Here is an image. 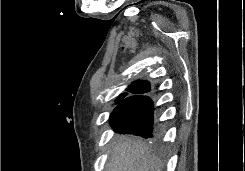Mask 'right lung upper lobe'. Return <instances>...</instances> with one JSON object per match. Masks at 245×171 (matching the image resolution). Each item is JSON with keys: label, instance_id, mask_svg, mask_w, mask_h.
I'll list each match as a JSON object with an SVG mask.
<instances>
[{"label": "right lung upper lobe", "instance_id": "cb5924a9", "mask_svg": "<svg viewBox=\"0 0 245 171\" xmlns=\"http://www.w3.org/2000/svg\"><path fill=\"white\" fill-rule=\"evenodd\" d=\"M126 91L134 94L135 96L125 98L128 95V93H123L116 99V102H115L116 104L119 105L121 102H126L133 98L142 96L143 94L150 92L151 87H150V83L147 81H137L129 85Z\"/></svg>", "mask_w": 245, "mask_h": 171}]
</instances>
